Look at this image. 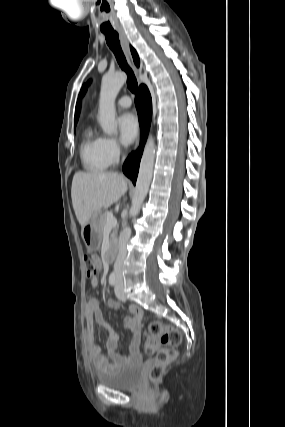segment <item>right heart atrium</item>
Listing matches in <instances>:
<instances>
[{"mask_svg":"<svg viewBox=\"0 0 285 427\" xmlns=\"http://www.w3.org/2000/svg\"><path fill=\"white\" fill-rule=\"evenodd\" d=\"M104 150L110 163H115L122 153V147L119 142L110 137L104 138Z\"/></svg>","mask_w":285,"mask_h":427,"instance_id":"right-heart-atrium-1","label":"right heart atrium"}]
</instances>
